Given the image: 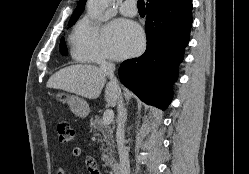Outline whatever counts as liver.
<instances>
[{
	"mask_svg": "<svg viewBox=\"0 0 249 174\" xmlns=\"http://www.w3.org/2000/svg\"><path fill=\"white\" fill-rule=\"evenodd\" d=\"M106 76L101 68L95 65H72L52 75L47 82V87L75 93L89 99H96L106 83ZM105 99L108 105L116 106L118 94L111 82L106 85Z\"/></svg>",
	"mask_w": 249,
	"mask_h": 174,
	"instance_id": "1",
	"label": "liver"
}]
</instances>
